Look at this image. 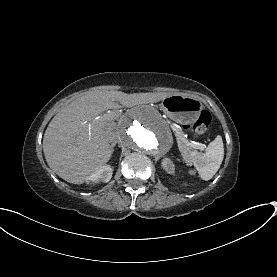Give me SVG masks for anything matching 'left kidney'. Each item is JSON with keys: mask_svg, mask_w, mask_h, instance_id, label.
Returning a JSON list of instances; mask_svg holds the SVG:
<instances>
[{"mask_svg": "<svg viewBox=\"0 0 277 277\" xmlns=\"http://www.w3.org/2000/svg\"><path fill=\"white\" fill-rule=\"evenodd\" d=\"M162 167L168 174H174L175 173V166L171 159L169 158H163L162 160Z\"/></svg>", "mask_w": 277, "mask_h": 277, "instance_id": "left-kidney-1", "label": "left kidney"}]
</instances>
